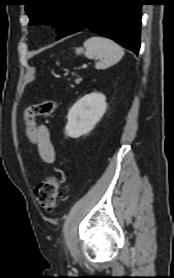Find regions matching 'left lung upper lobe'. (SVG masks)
Instances as JSON below:
<instances>
[{"label":"left lung upper lobe","instance_id":"obj_1","mask_svg":"<svg viewBox=\"0 0 174 278\" xmlns=\"http://www.w3.org/2000/svg\"><path fill=\"white\" fill-rule=\"evenodd\" d=\"M80 0H28L25 11L29 24L51 23L60 33L69 23L79 6Z\"/></svg>","mask_w":174,"mask_h":278}]
</instances>
